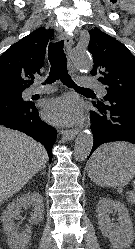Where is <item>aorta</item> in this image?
Returning a JSON list of instances; mask_svg holds the SVG:
<instances>
[{
	"instance_id": "1",
	"label": "aorta",
	"mask_w": 135,
	"mask_h": 249,
	"mask_svg": "<svg viewBox=\"0 0 135 249\" xmlns=\"http://www.w3.org/2000/svg\"><path fill=\"white\" fill-rule=\"evenodd\" d=\"M72 63L81 70H89L92 66L91 57L85 48L76 47L70 53ZM93 146V134L89 130L82 131L75 140L74 157L77 161L85 160Z\"/></svg>"
}]
</instances>
